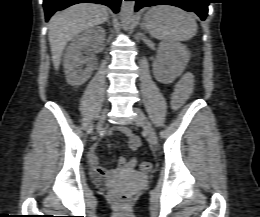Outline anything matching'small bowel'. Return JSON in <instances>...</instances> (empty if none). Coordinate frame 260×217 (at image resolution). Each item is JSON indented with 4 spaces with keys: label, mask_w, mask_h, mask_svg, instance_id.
Returning a JSON list of instances; mask_svg holds the SVG:
<instances>
[{
    "label": "small bowel",
    "mask_w": 260,
    "mask_h": 217,
    "mask_svg": "<svg viewBox=\"0 0 260 217\" xmlns=\"http://www.w3.org/2000/svg\"><path fill=\"white\" fill-rule=\"evenodd\" d=\"M193 85V75L189 72H185L175 86L173 94V106L179 108L183 101L188 97ZM120 132L129 137V149L132 151L137 150L141 146L140 138L134 135L128 128H120ZM137 161L135 158L121 157L116 165V173H128L132 172L136 167ZM89 165L98 178H108L112 176V172L101 167L98 162V157L95 153L89 155Z\"/></svg>",
    "instance_id": "c3829d8e"
}]
</instances>
